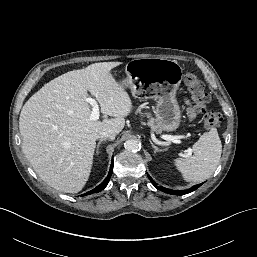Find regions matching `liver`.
<instances>
[{
  "mask_svg": "<svg viewBox=\"0 0 257 257\" xmlns=\"http://www.w3.org/2000/svg\"><path fill=\"white\" fill-rule=\"evenodd\" d=\"M120 62L94 63L45 84L24 104L19 117L22 150L34 171L50 187L77 193L91 172L98 134H119L132 101L110 71ZM88 92L101 112L115 118L90 119Z\"/></svg>",
  "mask_w": 257,
  "mask_h": 257,
  "instance_id": "obj_1",
  "label": "liver"
}]
</instances>
